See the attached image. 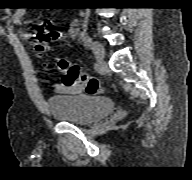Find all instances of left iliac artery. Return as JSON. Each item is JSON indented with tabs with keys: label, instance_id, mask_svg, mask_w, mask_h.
I'll return each instance as SVG.
<instances>
[{
	"label": "left iliac artery",
	"instance_id": "obj_1",
	"mask_svg": "<svg viewBox=\"0 0 192 180\" xmlns=\"http://www.w3.org/2000/svg\"><path fill=\"white\" fill-rule=\"evenodd\" d=\"M85 31H86V30H84V31L82 32L84 45H85L87 48H91V46H92V38H91L89 35H87V34L85 33Z\"/></svg>",
	"mask_w": 192,
	"mask_h": 180
}]
</instances>
